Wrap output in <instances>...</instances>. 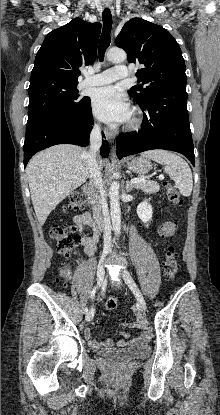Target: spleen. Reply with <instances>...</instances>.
Here are the masks:
<instances>
[{
    "instance_id": "obj_1",
    "label": "spleen",
    "mask_w": 220,
    "mask_h": 415,
    "mask_svg": "<svg viewBox=\"0 0 220 415\" xmlns=\"http://www.w3.org/2000/svg\"><path fill=\"white\" fill-rule=\"evenodd\" d=\"M142 157L152 159L164 165V171L175 182L183 196H190L193 187L189 165L180 156L166 150H151L142 153Z\"/></svg>"
}]
</instances>
